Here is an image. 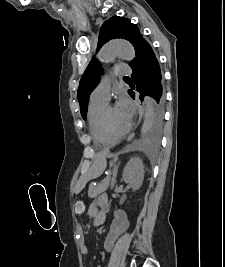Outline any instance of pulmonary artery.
Returning a JSON list of instances; mask_svg holds the SVG:
<instances>
[{
  "label": "pulmonary artery",
  "instance_id": "obj_1",
  "mask_svg": "<svg viewBox=\"0 0 225 267\" xmlns=\"http://www.w3.org/2000/svg\"><path fill=\"white\" fill-rule=\"evenodd\" d=\"M131 70L126 64H117L114 70L104 75L97 85V87L91 93V99L96 101L107 102L109 99V90L111 81L114 77L128 75Z\"/></svg>",
  "mask_w": 225,
  "mask_h": 267
}]
</instances>
